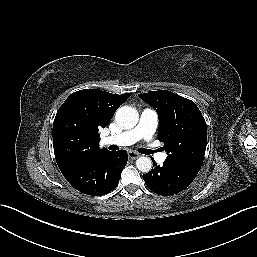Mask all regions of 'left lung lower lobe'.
Returning a JSON list of instances; mask_svg holds the SVG:
<instances>
[{"mask_svg":"<svg viewBox=\"0 0 257 257\" xmlns=\"http://www.w3.org/2000/svg\"><path fill=\"white\" fill-rule=\"evenodd\" d=\"M153 167L143 175V179L153 192L165 196L186 189L200 170L186 162L171 159H166L161 167L153 161Z\"/></svg>","mask_w":257,"mask_h":257,"instance_id":"obj_1","label":"left lung lower lobe"}]
</instances>
